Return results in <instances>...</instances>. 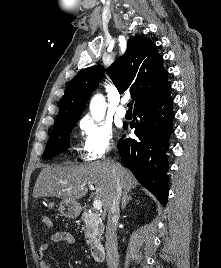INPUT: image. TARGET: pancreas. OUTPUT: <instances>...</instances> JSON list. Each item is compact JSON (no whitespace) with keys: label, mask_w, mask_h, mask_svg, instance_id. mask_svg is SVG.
I'll use <instances>...</instances> for the list:
<instances>
[{"label":"pancreas","mask_w":221,"mask_h":268,"mask_svg":"<svg viewBox=\"0 0 221 268\" xmlns=\"http://www.w3.org/2000/svg\"><path fill=\"white\" fill-rule=\"evenodd\" d=\"M81 219L85 222L84 235L87 245L98 243L104 228L101 218L95 212H84Z\"/></svg>","instance_id":"pancreas-1"}]
</instances>
